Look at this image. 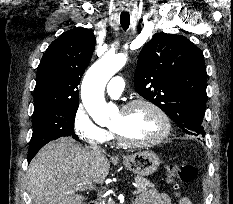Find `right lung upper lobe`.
Returning <instances> with one entry per match:
<instances>
[{
	"label": "right lung upper lobe",
	"mask_w": 233,
	"mask_h": 204,
	"mask_svg": "<svg viewBox=\"0 0 233 204\" xmlns=\"http://www.w3.org/2000/svg\"><path fill=\"white\" fill-rule=\"evenodd\" d=\"M94 48L95 36L85 28L64 32L49 45L37 68L34 111L78 104V85Z\"/></svg>",
	"instance_id": "1"
}]
</instances>
